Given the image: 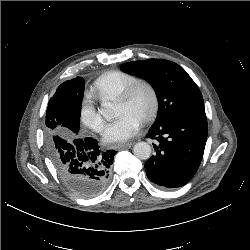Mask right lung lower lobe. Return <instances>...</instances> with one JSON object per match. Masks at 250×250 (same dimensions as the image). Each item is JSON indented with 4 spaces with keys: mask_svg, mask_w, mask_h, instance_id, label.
Here are the masks:
<instances>
[{
    "mask_svg": "<svg viewBox=\"0 0 250 250\" xmlns=\"http://www.w3.org/2000/svg\"><path fill=\"white\" fill-rule=\"evenodd\" d=\"M116 152H101L96 139L75 136L63 139L52 159L58 174L77 196L94 197L109 183L110 167Z\"/></svg>",
    "mask_w": 250,
    "mask_h": 250,
    "instance_id": "obj_1",
    "label": "right lung lower lobe"
}]
</instances>
